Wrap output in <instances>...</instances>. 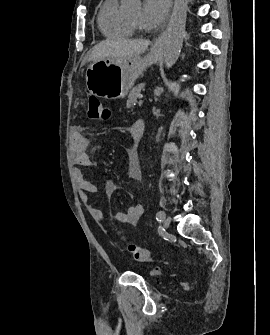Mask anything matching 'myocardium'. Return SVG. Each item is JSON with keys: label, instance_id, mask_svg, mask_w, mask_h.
I'll return each instance as SVG.
<instances>
[{"label": "myocardium", "instance_id": "f54148a6", "mask_svg": "<svg viewBox=\"0 0 270 335\" xmlns=\"http://www.w3.org/2000/svg\"><path fill=\"white\" fill-rule=\"evenodd\" d=\"M127 23L129 24V26L133 29V30H137L138 27L134 26L128 19H126Z\"/></svg>", "mask_w": 270, "mask_h": 335}]
</instances>
